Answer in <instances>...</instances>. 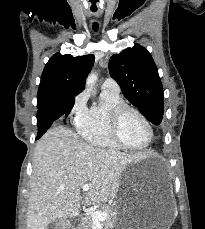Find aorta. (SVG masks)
I'll use <instances>...</instances> for the list:
<instances>
[{
	"mask_svg": "<svg viewBox=\"0 0 205 229\" xmlns=\"http://www.w3.org/2000/svg\"><path fill=\"white\" fill-rule=\"evenodd\" d=\"M98 80V75L96 72H91L86 79V86L93 87Z\"/></svg>",
	"mask_w": 205,
	"mask_h": 229,
	"instance_id": "aorta-1",
	"label": "aorta"
}]
</instances>
